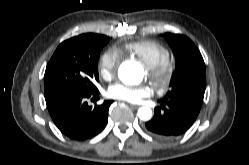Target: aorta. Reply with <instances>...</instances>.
<instances>
[{"mask_svg": "<svg viewBox=\"0 0 249 165\" xmlns=\"http://www.w3.org/2000/svg\"><path fill=\"white\" fill-rule=\"evenodd\" d=\"M144 69L142 65L135 61L123 62L118 70L119 78L128 84H138L143 77ZM137 115L139 119L148 121L152 117V110L149 107H140Z\"/></svg>", "mask_w": 249, "mask_h": 165, "instance_id": "762f6f07", "label": "aorta"}]
</instances>
